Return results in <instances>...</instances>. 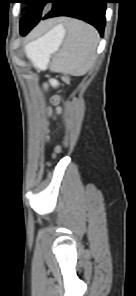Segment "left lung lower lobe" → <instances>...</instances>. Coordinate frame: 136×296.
I'll return each instance as SVG.
<instances>
[{
    "label": "left lung lower lobe",
    "instance_id": "obj_1",
    "mask_svg": "<svg viewBox=\"0 0 136 296\" xmlns=\"http://www.w3.org/2000/svg\"><path fill=\"white\" fill-rule=\"evenodd\" d=\"M50 3L53 7L42 19L57 16L81 19L93 25L103 36L108 0H52ZM34 26L21 29V35H26Z\"/></svg>",
    "mask_w": 136,
    "mask_h": 296
}]
</instances>
